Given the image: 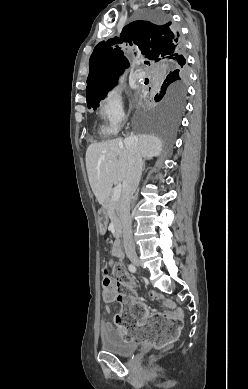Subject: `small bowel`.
Wrapping results in <instances>:
<instances>
[{
    "mask_svg": "<svg viewBox=\"0 0 248 389\" xmlns=\"http://www.w3.org/2000/svg\"><path fill=\"white\" fill-rule=\"evenodd\" d=\"M113 284V283H112ZM131 290L132 291H136L137 290V287L136 286H132L131 287ZM149 296L153 299H156V300H159V301H162L163 304H164V307L167 309V315H171V317H182V309L181 308H176V305L175 303L170 300V299H166L164 297V295H162L161 293H158L156 291H149ZM105 301V300H104ZM116 300H112V301H105V310L107 312H110L111 308H110V304L115 302ZM149 314V313H148ZM114 331L113 327H112V324L110 322H102L101 324V334H108V333H112ZM118 333H120L123 337H125V332L122 331V330H117Z\"/></svg>",
    "mask_w": 248,
    "mask_h": 389,
    "instance_id": "1",
    "label": "small bowel"
}]
</instances>
